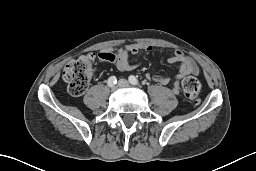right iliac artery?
Masks as SVG:
<instances>
[{
    "mask_svg": "<svg viewBox=\"0 0 256 171\" xmlns=\"http://www.w3.org/2000/svg\"><path fill=\"white\" fill-rule=\"evenodd\" d=\"M107 83H108V85H109L110 87H111V86H113L114 84H116V83H117V79H116V77H115V76H111V77H109V79H108Z\"/></svg>",
    "mask_w": 256,
    "mask_h": 171,
    "instance_id": "1",
    "label": "right iliac artery"
}]
</instances>
